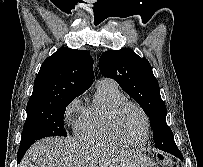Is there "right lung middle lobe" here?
Returning <instances> with one entry per match:
<instances>
[{
  "instance_id": "1",
  "label": "right lung middle lobe",
  "mask_w": 203,
  "mask_h": 167,
  "mask_svg": "<svg viewBox=\"0 0 203 167\" xmlns=\"http://www.w3.org/2000/svg\"><path fill=\"white\" fill-rule=\"evenodd\" d=\"M75 97H65L40 104H27V119L20 145L34 143L44 137L67 136L63 123L64 114L66 107Z\"/></svg>"
}]
</instances>
